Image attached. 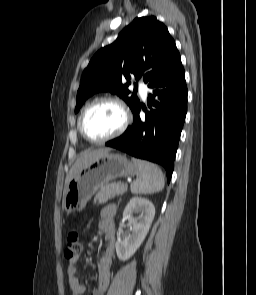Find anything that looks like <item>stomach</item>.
Listing matches in <instances>:
<instances>
[{"instance_id": "0dacf381", "label": "stomach", "mask_w": 256, "mask_h": 295, "mask_svg": "<svg viewBox=\"0 0 256 295\" xmlns=\"http://www.w3.org/2000/svg\"><path fill=\"white\" fill-rule=\"evenodd\" d=\"M138 172L134 163L125 156L105 153L77 172L64 191L63 209L67 214L81 211L103 185L120 177Z\"/></svg>"}]
</instances>
